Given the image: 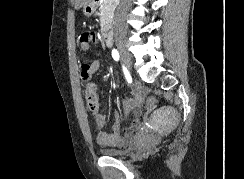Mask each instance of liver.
Instances as JSON below:
<instances>
[{
  "label": "liver",
  "mask_w": 244,
  "mask_h": 179,
  "mask_svg": "<svg viewBox=\"0 0 244 179\" xmlns=\"http://www.w3.org/2000/svg\"><path fill=\"white\" fill-rule=\"evenodd\" d=\"M88 2H90V0H75L76 10H79V8H82V6H84V4H88Z\"/></svg>",
  "instance_id": "liver-1"
}]
</instances>
